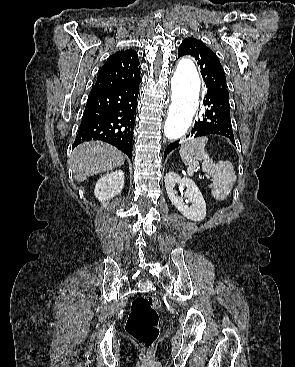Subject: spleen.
Listing matches in <instances>:
<instances>
[{
    "instance_id": "spleen-1",
    "label": "spleen",
    "mask_w": 295,
    "mask_h": 367,
    "mask_svg": "<svg viewBox=\"0 0 295 367\" xmlns=\"http://www.w3.org/2000/svg\"><path fill=\"white\" fill-rule=\"evenodd\" d=\"M207 142L208 138L206 137L189 140L180 147L179 153L184 164L188 166V172L191 174L198 166V161H202V171L213 179L210 185L212 196L217 201H223L232 190L237 177L233 164L230 161L213 162L205 151Z\"/></svg>"
}]
</instances>
